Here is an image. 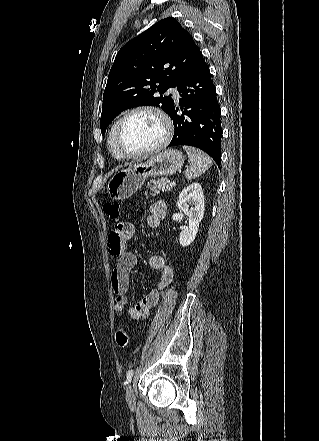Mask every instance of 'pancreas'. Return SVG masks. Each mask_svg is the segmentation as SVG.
<instances>
[{
  "mask_svg": "<svg viewBox=\"0 0 319 441\" xmlns=\"http://www.w3.org/2000/svg\"><path fill=\"white\" fill-rule=\"evenodd\" d=\"M147 187L150 189L153 197L160 193L168 192L172 189L167 178L151 180Z\"/></svg>",
  "mask_w": 319,
  "mask_h": 441,
  "instance_id": "obj_1",
  "label": "pancreas"
}]
</instances>
